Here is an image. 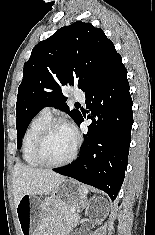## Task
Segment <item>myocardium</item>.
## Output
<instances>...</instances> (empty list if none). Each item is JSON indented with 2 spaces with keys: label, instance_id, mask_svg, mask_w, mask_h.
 Listing matches in <instances>:
<instances>
[{
  "label": "myocardium",
  "instance_id": "myocardium-1",
  "mask_svg": "<svg viewBox=\"0 0 155 235\" xmlns=\"http://www.w3.org/2000/svg\"><path fill=\"white\" fill-rule=\"evenodd\" d=\"M58 126H63V127L68 128L73 133L75 142H74L73 149L67 158H65L64 160L59 161V162H50L45 159L44 154H43V149H44V145L47 141L49 134L51 133V131L54 128H56ZM79 147H80V137L77 134V132L64 120L51 119L45 125V127L42 129V131L36 141L35 148H34V156L37 159V161L43 166L53 167V168L54 167H61V166H65V165L71 163L75 159V157L78 153Z\"/></svg>",
  "mask_w": 155,
  "mask_h": 235
}]
</instances>
